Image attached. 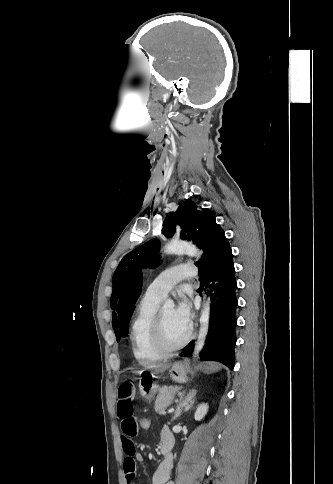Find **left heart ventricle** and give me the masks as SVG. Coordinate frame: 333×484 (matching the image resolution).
I'll list each match as a JSON object with an SVG mask.
<instances>
[{
  "mask_svg": "<svg viewBox=\"0 0 333 484\" xmlns=\"http://www.w3.org/2000/svg\"><path fill=\"white\" fill-rule=\"evenodd\" d=\"M164 323L165 338L170 345L181 342L188 333V328L180 323L176 318L174 309H164L161 311Z\"/></svg>",
  "mask_w": 333,
  "mask_h": 484,
  "instance_id": "1",
  "label": "left heart ventricle"
}]
</instances>
